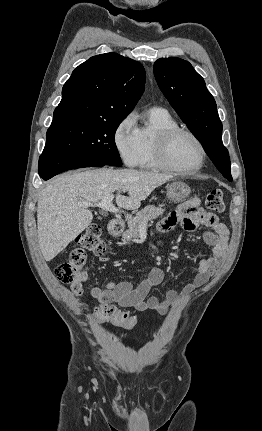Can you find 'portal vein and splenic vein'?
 I'll use <instances>...</instances> for the list:
<instances>
[{"instance_id": "1", "label": "portal vein and splenic vein", "mask_w": 262, "mask_h": 431, "mask_svg": "<svg viewBox=\"0 0 262 431\" xmlns=\"http://www.w3.org/2000/svg\"><path fill=\"white\" fill-rule=\"evenodd\" d=\"M113 198H114V195L112 194V195L104 197L100 202H96V203L81 202V206L86 207V208H88L90 206H95V207H99L105 211L113 212V213L121 212L118 208H116L112 204Z\"/></svg>"}]
</instances>
